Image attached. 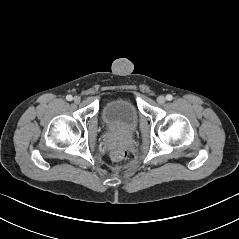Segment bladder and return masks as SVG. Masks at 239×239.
<instances>
[{"instance_id": "bladder-1", "label": "bladder", "mask_w": 239, "mask_h": 239, "mask_svg": "<svg viewBox=\"0 0 239 239\" xmlns=\"http://www.w3.org/2000/svg\"><path fill=\"white\" fill-rule=\"evenodd\" d=\"M101 117L108 130L123 134L134 132L139 121L135 104L125 98L107 101L102 108Z\"/></svg>"}]
</instances>
